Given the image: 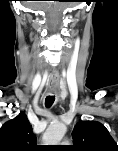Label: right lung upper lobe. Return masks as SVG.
I'll list each match as a JSON object with an SVG mask.
<instances>
[{
	"label": "right lung upper lobe",
	"instance_id": "obj_1",
	"mask_svg": "<svg viewBox=\"0 0 118 151\" xmlns=\"http://www.w3.org/2000/svg\"><path fill=\"white\" fill-rule=\"evenodd\" d=\"M36 149V137L24 112L0 128V151H33Z\"/></svg>",
	"mask_w": 118,
	"mask_h": 151
}]
</instances>
